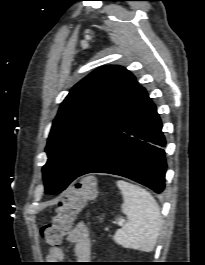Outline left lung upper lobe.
Returning a JSON list of instances; mask_svg holds the SVG:
<instances>
[{"mask_svg": "<svg viewBox=\"0 0 205 265\" xmlns=\"http://www.w3.org/2000/svg\"><path fill=\"white\" fill-rule=\"evenodd\" d=\"M130 71L110 65L78 82L53 121L42 172L46 193L64 190L145 95Z\"/></svg>", "mask_w": 205, "mask_h": 265, "instance_id": "1", "label": "left lung upper lobe"}]
</instances>
